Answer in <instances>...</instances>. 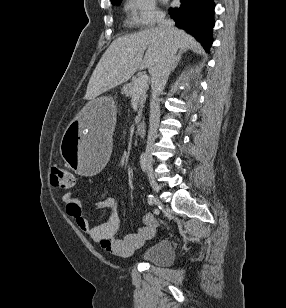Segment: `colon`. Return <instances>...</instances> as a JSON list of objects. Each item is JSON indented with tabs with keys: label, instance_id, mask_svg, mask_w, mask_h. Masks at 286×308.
<instances>
[{
	"label": "colon",
	"instance_id": "obj_1",
	"mask_svg": "<svg viewBox=\"0 0 286 308\" xmlns=\"http://www.w3.org/2000/svg\"><path fill=\"white\" fill-rule=\"evenodd\" d=\"M51 183L56 188L71 190L75 187V175L65 168L55 167L51 170Z\"/></svg>",
	"mask_w": 286,
	"mask_h": 308
}]
</instances>
